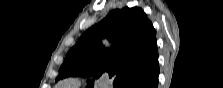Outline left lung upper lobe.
<instances>
[{
	"instance_id": "5c2ea615",
	"label": "left lung upper lobe",
	"mask_w": 223,
	"mask_h": 88,
	"mask_svg": "<svg viewBox=\"0 0 223 88\" xmlns=\"http://www.w3.org/2000/svg\"><path fill=\"white\" fill-rule=\"evenodd\" d=\"M102 38L111 41V48L103 47ZM156 59L152 23L141 8L125 7L111 11L80 37L66 55L57 79L80 75L98 78L107 73L114 80V88H123ZM87 88H93V83Z\"/></svg>"
}]
</instances>
